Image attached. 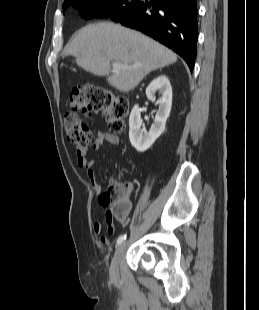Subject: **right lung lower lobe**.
<instances>
[{"label": "right lung lower lobe", "mask_w": 259, "mask_h": 310, "mask_svg": "<svg viewBox=\"0 0 259 310\" xmlns=\"http://www.w3.org/2000/svg\"><path fill=\"white\" fill-rule=\"evenodd\" d=\"M138 2L122 25L141 31L179 54L192 71L198 39L196 0H150Z\"/></svg>", "instance_id": "obj_1"}]
</instances>
